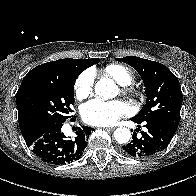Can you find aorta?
Segmentation results:
<instances>
[{
  "label": "aorta",
  "instance_id": "aorta-1",
  "mask_svg": "<svg viewBox=\"0 0 196 196\" xmlns=\"http://www.w3.org/2000/svg\"><path fill=\"white\" fill-rule=\"evenodd\" d=\"M95 93L102 99H112L117 96L118 88L112 79L102 78L95 85ZM114 138L118 143L125 144L130 140L131 132L125 127L117 128L114 131Z\"/></svg>",
  "mask_w": 196,
  "mask_h": 196
}]
</instances>
